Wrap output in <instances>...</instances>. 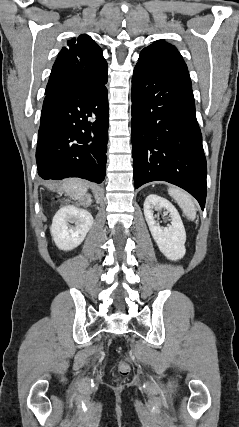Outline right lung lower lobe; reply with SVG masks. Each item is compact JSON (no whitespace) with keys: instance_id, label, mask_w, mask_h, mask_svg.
Instances as JSON below:
<instances>
[{"instance_id":"obj_1","label":"right lung lower lobe","mask_w":239,"mask_h":427,"mask_svg":"<svg viewBox=\"0 0 239 427\" xmlns=\"http://www.w3.org/2000/svg\"><path fill=\"white\" fill-rule=\"evenodd\" d=\"M108 71L45 92L36 149L43 179L105 178L108 141Z\"/></svg>"}]
</instances>
